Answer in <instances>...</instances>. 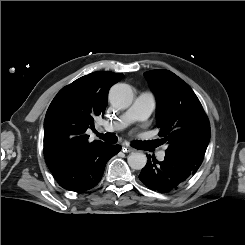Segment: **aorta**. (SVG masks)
I'll return each instance as SVG.
<instances>
[{"label":"aorta","mask_w":245,"mask_h":245,"mask_svg":"<svg viewBox=\"0 0 245 245\" xmlns=\"http://www.w3.org/2000/svg\"><path fill=\"white\" fill-rule=\"evenodd\" d=\"M111 106L117 110L128 109L133 101V91L127 84H116L110 91L108 96ZM127 162L129 166L134 170H141L147 162L146 155L140 152L131 153Z\"/></svg>","instance_id":"obj_1"}]
</instances>
